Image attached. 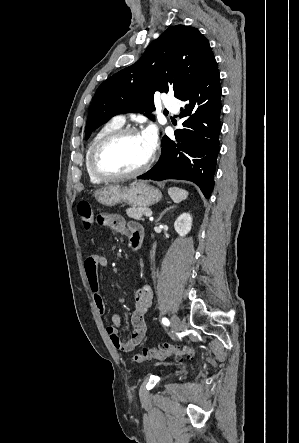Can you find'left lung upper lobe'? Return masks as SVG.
I'll list each match as a JSON object with an SVG mask.
<instances>
[{
	"instance_id": "5c2ea615",
	"label": "left lung upper lobe",
	"mask_w": 299,
	"mask_h": 443,
	"mask_svg": "<svg viewBox=\"0 0 299 443\" xmlns=\"http://www.w3.org/2000/svg\"><path fill=\"white\" fill-rule=\"evenodd\" d=\"M214 60L208 40L196 28L169 27L135 64L98 87L89 110L86 138L118 113L146 112L150 116L155 110L156 91L173 90L181 99Z\"/></svg>"
}]
</instances>
